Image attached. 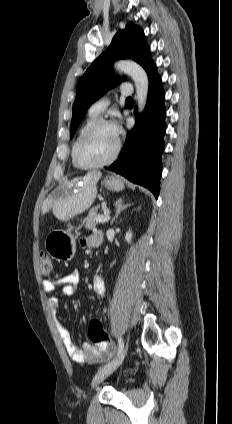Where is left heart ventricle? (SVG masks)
I'll return each mask as SVG.
<instances>
[{"instance_id": "obj_1", "label": "left heart ventricle", "mask_w": 232, "mask_h": 424, "mask_svg": "<svg viewBox=\"0 0 232 424\" xmlns=\"http://www.w3.org/2000/svg\"><path fill=\"white\" fill-rule=\"evenodd\" d=\"M117 135L111 126L93 132L81 145L80 157L86 163H96L109 157L116 145Z\"/></svg>"}]
</instances>
